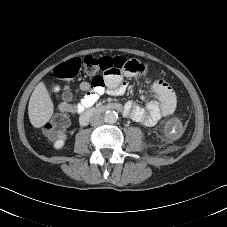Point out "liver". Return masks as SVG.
I'll list each match as a JSON object with an SVG mask.
<instances>
[{
	"label": "liver",
	"instance_id": "6515ba94",
	"mask_svg": "<svg viewBox=\"0 0 227 227\" xmlns=\"http://www.w3.org/2000/svg\"><path fill=\"white\" fill-rule=\"evenodd\" d=\"M54 105L50 94L43 82H40L33 90L28 105L30 123L35 128L44 126L52 117Z\"/></svg>",
	"mask_w": 227,
	"mask_h": 227
}]
</instances>
